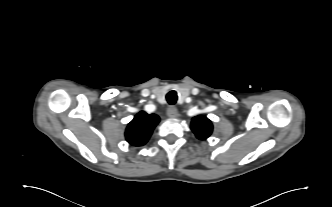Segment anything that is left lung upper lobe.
I'll list each match as a JSON object with an SVG mask.
<instances>
[{"label":"left lung upper lobe","mask_w":332,"mask_h":207,"mask_svg":"<svg viewBox=\"0 0 332 207\" xmlns=\"http://www.w3.org/2000/svg\"><path fill=\"white\" fill-rule=\"evenodd\" d=\"M191 129L198 139L205 140L211 135L213 125L207 117L198 115L192 119Z\"/></svg>","instance_id":"obj_1"}]
</instances>
